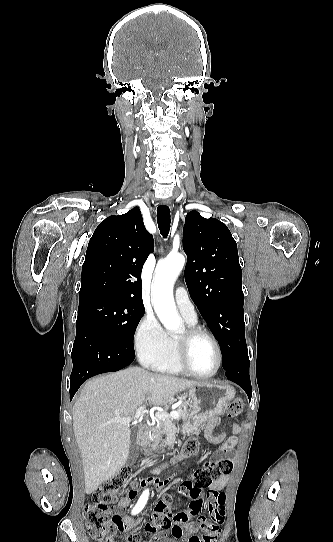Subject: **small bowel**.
I'll return each mask as SVG.
<instances>
[{"label": "small bowel", "mask_w": 333, "mask_h": 542, "mask_svg": "<svg viewBox=\"0 0 333 542\" xmlns=\"http://www.w3.org/2000/svg\"><path fill=\"white\" fill-rule=\"evenodd\" d=\"M219 423V421H213L210 419L208 423L205 426L204 435L207 441L211 444H221L220 452L213 453L211 455V460L213 462L218 463H230L233 461L234 456L232 453H230L231 450L235 448V446L238 443V435L241 432V426L238 423H233L231 426L232 435L227 437L226 432H222L220 434L215 435L213 433V429L215 426ZM228 482L227 476H221L218 479L214 480L213 483L210 486L211 490H219L225 487V485ZM170 484V481L168 479L163 480L162 476H152L151 478L149 476H146L144 479L140 480V487L141 489H148L149 486H158L159 488L167 487ZM138 494L137 491L134 489H130L127 491L126 495L120 498L117 501V506L119 508H128L133 506V501L137 498ZM163 498H168V493H163ZM136 513L130 514L126 518V525L125 523L117 522L115 524V527L118 529L120 533H123L125 531V526L127 528L133 527L137 524L135 520ZM183 528L186 531L187 534H193L197 530V525L194 523H184Z\"/></svg>", "instance_id": "small-bowel-1"}]
</instances>
